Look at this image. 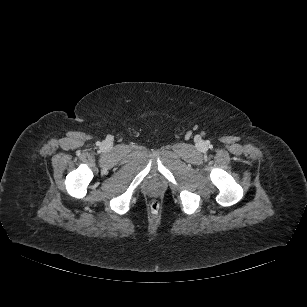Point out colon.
Instances as JSON below:
<instances>
[{
	"label": "colon",
	"mask_w": 307,
	"mask_h": 307,
	"mask_svg": "<svg viewBox=\"0 0 307 307\" xmlns=\"http://www.w3.org/2000/svg\"><path fill=\"white\" fill-rule=\"evenodd\" d=\"M150 208L152 211H157L159 209V203L157 201H152L150 203Z\"/></svg>",
	"instance_id": "1"
}]
</instances>
